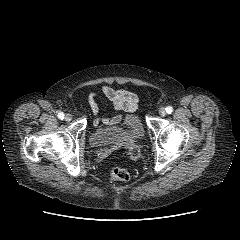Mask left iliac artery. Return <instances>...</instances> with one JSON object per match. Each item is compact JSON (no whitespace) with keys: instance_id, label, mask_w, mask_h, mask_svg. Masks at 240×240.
Returning <instances> with one entry per match:
<instances>
[{"instance_id":"44dca946","label":"left iliac artery","mask_w":240,"mask_h":240,"mask_svg":"<svg viewBox=\"0 0 240 240\" xmlns=\"http://www.w3.org/2000/svg\"><path fill=\"white\" fill-rule=\"evenodd\" d=\"M165 110L168 114H171L173 112V108L171 106H167Z\"/></svg>"}]
</instances>
